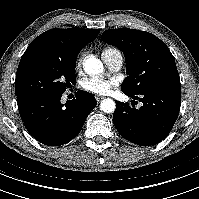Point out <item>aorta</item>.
<instances>
[{"label": "aorta", "mask_w": 199, "mask_h": 199, "mask_svg": "<svg viewBox=\"0 0 199 199\" xmlns=\"http://www.w3.org/2000/svg\"><path fill=\"white\" fill-rule=\"evenodd\" d=\"M83 67L85 72L90 75H98L104 70L103 63L93 56L84 60ZM115 107V102L112 99H104L100 104V109L105 113H112Z\"/></svg>", "instance_id": "obj_1"}]
</instances>
